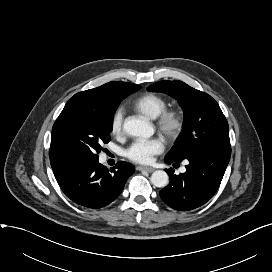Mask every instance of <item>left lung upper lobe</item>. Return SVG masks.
Instances as JSON below:
<instances>
[{"mask_svg":"<svg viewBox=\"0 0 272 272\" xmlns=\"http://www.w3.org/2000/svg\"><path fill=\"white\" fill-rule=\"evenodd\" d=\"M147 90L170 95L184 112L182 131L165 158L180 162L205 149H231L227 120L210 95L181 81H160Z\"/></svg>","mask_w":272,"mask_h":272,"instance_id":"left-lung-upper-lobe-1","label":"left lung upper lobe"}]
</instances>
